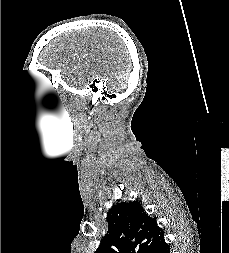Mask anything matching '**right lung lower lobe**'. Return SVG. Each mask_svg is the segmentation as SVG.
<instances>
[{
	"mask_svg": "<svg viewBox=\"0 0 229 253\" xmlns=\"http://www.w3.org/2000/svg\"><path fill=\"white\" fill-rule=\"evenodd\" d=\"M151 253H170V249L168 244L164 241V239L156 246Z\"/></svg>",
	"mask_w": 229,
	"mask_h": 253,
	"instance_id": "right-lung-lower-lobe-1",
	"label": "right lung lower lobe"
}]
</instances>
